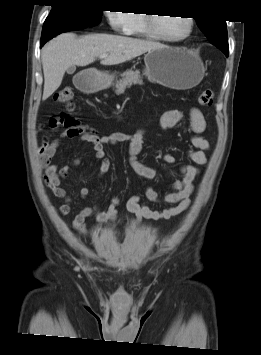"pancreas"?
<instances>
[{
    "instance_id": "1",
    "label": "pancreas",
    "mask_w": 261,
    "mask_h": 355,
    "mask_svg": "<svg viewBox=\"0 0 261 355\" xmlns=\"http://www.w3.org/2000/svg\"><path fill=\"white\" fill-rule=\"evenodd\" d=\"M122 79L117 81L115 85V92L117 94L124 93L127 87H131L133 84H143L142 78L140 77L139 71L128 70L124 72L122 75Z\"/></svg>"
}]
</instances>
